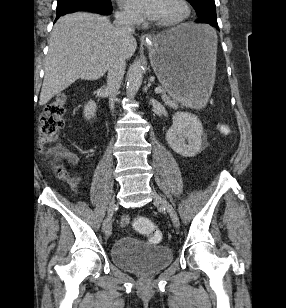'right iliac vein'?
Here are the masks:
<instances>
[{
	"label": "right iliac vein",
	"instance_id": "right-iliac-vein-1",
	"mask_svg": "<svg viewBox=\"0 0 286 308\" xmlns=\"http://www.w3.org/2000/svg\"><path fill=\"white\" fill-rule=\"evenodd\" d=\"M116 201L115 198H112L109 206H108V214H107V219H106V224H105V233L108 237L111 236L112 234V214L114 210L116 209Z\"/></svg>",
	"mask_w": 286,
	"mask_h": 308
}]
</instances>
